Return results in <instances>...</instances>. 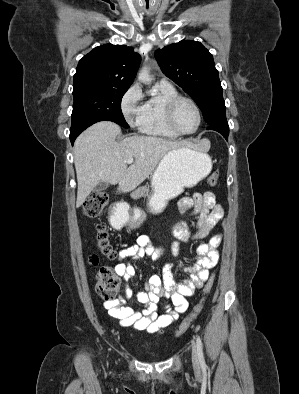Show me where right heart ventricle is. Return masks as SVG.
Instances as JSON below:
<instances>
[{
  "mask_svg": "<svg viewBox=\"0 0 299 394\" xmlns=\"http://www.w3.org/2000/svg\"><path fill=\"white\" fill-rule=\"evenodd\" d=\"M157 94L147 100L144 104L140 120L142 133L154 137L176 138L179 135L171 131L164 119V106L170 99L178 96V92L172 85L156 83Z\"/></svg>",
  "mask_w": 299,
  "mask_h": 394,
  "instance_id": "right-heart-ventricle-1",
  "label": "right heart ventricle"
}]
</instances>
